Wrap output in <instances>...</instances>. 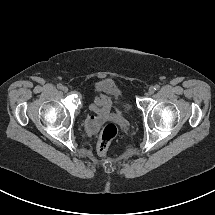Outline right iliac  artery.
Here are the masks:
<instances>
[{"instance_id":"right-iliac-artery-1","label":"right iliac artery","mask_w":215,"mask_h":215,"mask_svg":"<svg viewBox=\"0 0 215 215\" xmlns=\"http://www.w3.org/2000/svg\"><path fill=\"white\" fill-rule=\"evenodd\" d=\"M62 87H63V85L60 84V83L57 85V88H58V89H62Z\"/></svg>"}]
</instances>
